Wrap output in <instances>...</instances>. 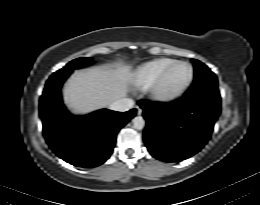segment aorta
<instances>
[{
  "instance_id": "762f6f07",
  "label": "aorta",
  "mask_w": 260,
  "mask_h": 205,
  "mask_svg": "<svg viewBox=\"0 0 260 205\" xmlns=\"http://www.w3.org/2000/svg\"><path fill=\"white\" fill-rule=\"evenodd\" d=\"M132 121L133 127L137 130H142L145 126V120L141 116H136Z\"/></svg>"
}]
</instances>
